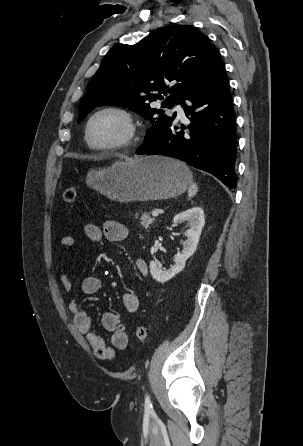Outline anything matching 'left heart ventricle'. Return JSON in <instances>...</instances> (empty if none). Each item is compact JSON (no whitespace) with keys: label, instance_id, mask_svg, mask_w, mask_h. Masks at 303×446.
Listing matches in <instances>:
<instances>
[{"label":"left heart ventricle","instance_id":"1","mask_svg":"<svg viewBox=\"0 0 303 446\" xmlns=\"http://www.w3.org/2000/svg\"><path fill=\"white\" fill-rule=\"evenodd\" d=\"M125 133L123 122L113 114L97 117L90 127V140L94 145L103 146L118 141Z\"/></svg>","mask_w":303,"mask_h":446}]
</instances>
